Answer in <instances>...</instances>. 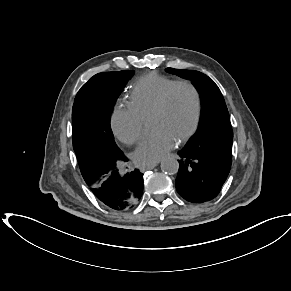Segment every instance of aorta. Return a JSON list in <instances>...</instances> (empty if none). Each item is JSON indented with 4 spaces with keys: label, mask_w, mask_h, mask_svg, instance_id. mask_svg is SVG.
Masks as SVG:
<instances>
[{
    "label": "aorta",
    "mask_w": 291,
    "mask_h": 291,
    "mask_svg": "<svg viewBox=\"0 0 291 291\" xmlns=\"http://www.w3.org/2000/svg\"><path fill=\"white\" fill-rule=\"evenodd\" d=\"M161 170L168 174H176L179 169V163L175 158L168 157L161 162Z\"/></svg>",
    "instance_id": "obj_1"
}]
</instances>
